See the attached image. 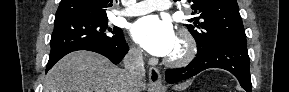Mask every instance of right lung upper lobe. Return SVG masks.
<instances>
[{
    "label": "right lung upper lobe",
    "mask_w": 289,
    "mask_h": 92,
    "mask_svg": "<svg viewBox=\"0 0 289 92\" xmlns=\"http://www.w3.org/2000/svg\"><path fill=\"white\" fill-rule=\"evenodd\" d=\"M112 3V0H61L55 21L81 17L107 18L106 9Z\"/></svg>",
    "instance_id": "obj_1"
}]
</instances>
